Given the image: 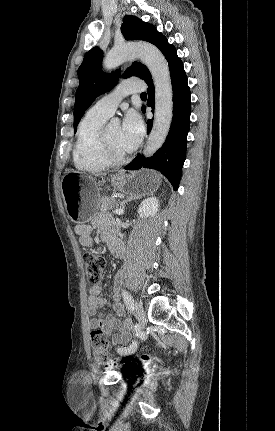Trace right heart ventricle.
<instances>
[{"instance_id":"e07e8e85","label":"right heart ventricle","mask_w":275,"mask_h":431,"mask_svg":"<svg viewBox=\"0 0 275 431\" xmlns=\"http://www.w3.org/2000/svg\"><path fill=\"white\" fill-rule=\"evenodd\" d=\"M108 118V115L91 108L81 119L73 150V161L77 169L98 173L110 166V163L102 155L100 141L101 133Z\"/></svg>"}]
</instances>
